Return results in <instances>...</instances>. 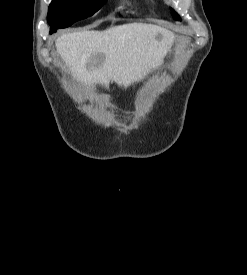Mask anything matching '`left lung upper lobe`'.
<instances>
[{
	"label": "left lung upper lobe",
	"mask_w": 247,
	"mask_h": 275,
	"mask_svg": "<svg viewBox=\"0 0 247 275\" xmlns=\"http://www.w3.org/2000/svg\"><path fill=\"white\" fill-rule=\"evenodd\" d=\"M172 16L174 17V19L179 20L178 15L174 11L172 12Z\"/></svg>",
	"instance_id": "1"
}]
</instances>
